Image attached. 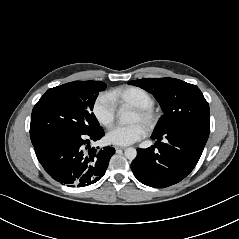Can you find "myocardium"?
<instances>
[{
	"label": "myocardium",
	"instance_id": "myocardium-1",
	"mask_svg": "<svg viewBox=\"0 0 239 239\" xmlns=\"http://www.w3.org/2000/svg\"><path fill=\"white\" fill-rule=\"evenodd\" d=\"M135 111L139 113L145 120L146 122V128L148 130H152L156 127L159 116L158 114L154 111L153 108H148V107H136Z\"/></svg>",
	"mask_w": 239,
	"mask_h": 239
}]
</instances>
